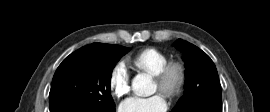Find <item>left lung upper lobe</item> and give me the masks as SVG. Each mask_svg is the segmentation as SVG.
Instances as JSON below:
<instances>
[{
    "label": "left lung upper lobe",
    "instance_id": "5c2ea615",
    "mask_svg": "<svg viewBox=\"0 0 270 112\" xmlns=\"http://www.w3.org/2000/svg\"><path fill=\"white\" fill-rule=\"evenodd\" d=\"M174 45L183 51L187 69L185 94L172 112H185L194 106L222 109L221 86L211 58L195 45L178 39Z\"/></svg>",
    "mask_w": 270,
    "mask_h": 112
}]
</instances>
